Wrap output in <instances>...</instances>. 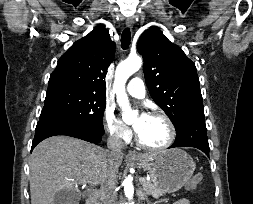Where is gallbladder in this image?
Segmentation results:
<instances>
[{"mask_svg":"<svg viewBox=\"0 0 253 204\" xmlns=\"http://www.w3.org/2000/svg\"><path fill=\"white\" fill-rule=\"evenodd\" d=\"M79 193L75 190H60L55 194L54 204H79Z\"/></svg>","mask_w":253,"mask_h":204,"instance_id":"gallbladder-1","label":"gallbladder"}]
</instances>
